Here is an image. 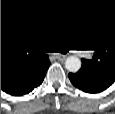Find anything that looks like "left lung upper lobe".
I'll return each mask as SVG.
<instances>
[{"label": "left lung upper lobe", "mask_w": 115, "mask_h": 114, "mask_svg": "<svg viewBox=\"0 0 115 114\" xmlns=\"http://www.w3.org/2000/svg\"><path fill=\"white\" fill-rule=\"evenodd\" d=\"M91 50L90 59H81L82 67L79 71L100 74L115 80V25L101 30L87 43Z\"/></svg>", "instance_id": "1"}]
</instances>
